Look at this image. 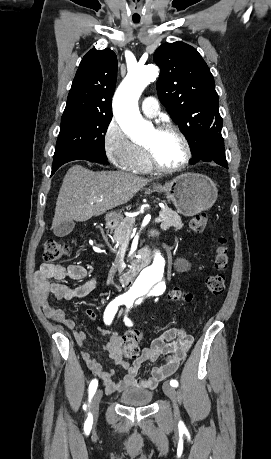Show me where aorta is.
Wrapping results in <instances>:
<instances>
[{"label": "aorta", "instance_id": "1", "mask_svg": "<svg viewBox=\"0 0 271 459\" xmlns=\"http://www.w3.org/2000/svg\"><path fill=\"white\" fill-rule=\"evenodd\" d=\"M158 75L159 69L155 65L131 70L115 93L114 116L124 133L133 140L144 139L149 132L150 126L139 112L138 100L145 87ZM168 275L167 262L161 252L156 251L153 258L145 262L133 289L140 294L161 295L166 289Z\"/></svg>", "mask_w": 271, "mask_h": 459}]
</instances>
